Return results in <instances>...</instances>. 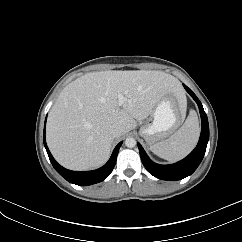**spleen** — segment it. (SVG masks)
Listing matches in <instances>:
<instances>
[{
	"label": "spleen",
	"mask_w": 242,
	"mask_h": 242,
	"mask_svg": "<svg viewBox=\"0 0 242 242\" xmlns=\"http://www.w3.org/2000/svg\"><path fill=\"white\" fill-rule=\"evenodd\" d=\"M199 134L200 126L197 114L191 111L179 130L168 139L151 145L150 150L167 161L175 162L193 150L198 142Z\"/></svg>",
	"instance_id": "3e777b00"
}]
</instances>
